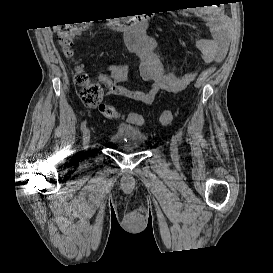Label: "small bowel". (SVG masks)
<instances>
[{
	"mask_svg": "<svg viewBox=\"0 0 273 273\" xmlns=\"http://www.w3.org/2000/svg\"><path fill=\"white\" fill-rule=\"evenodd\" d=\"M186 15L199 17L210 27L211 37L200 38L196 42L202 61L220 63L228 50L231 19L221 6L190 10ZM126 41L128 49L139 57L141 78L145 82H150V87L146 90H131L124 87L122 82L128 76L127 66L108 65L107 73L97 76L98 81L106 87L107 95H117L150 105L160 91L179 93L195 80L197 76L195 71L189 70L179 76L173 66L165 64L163 56L156 51L158 41L155 38L141 37L136 31H131ZM127 116L128 114L122 118L129 121Z\"/></svg>",
	"mask_w": 273,
	"mask_h": 273,
	"instance_id": "c3829d8e",
	"label": "small bowel"
}]
</instances>
